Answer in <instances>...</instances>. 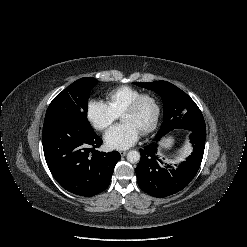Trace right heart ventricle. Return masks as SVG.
I'll use <instances>...</instances> for the list:
<instances>
[{"instance_id":"obj_1","label":"right heart ventricle","mask_w":247,"mask_h":247,"mask_svg":"<svg viewBox=\"0 0 247 247\" xmlns=\"http://www.w3.org/2000/svg\"><path fill=\"white\" fill-rule=\"evenodd\" d=\"M140 94H142L140 89L126 85L120 86L106 94V103L117 115H120L124 108Z\"/></svg>"}]
</instances>
